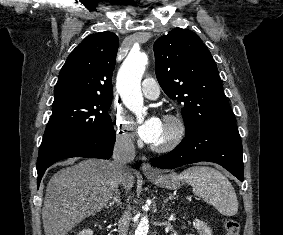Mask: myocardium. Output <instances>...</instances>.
<instances>
[{
    "instance_id": "1",
    "label": "myocardium",
    "mask_w": 283,
    "mask_h": 235,
    "mask_svg": "<svg viewBox=\"0 0 283 235\" xmlns=\"http://www.w3.org/2000/svg\"><path fill=\"white\" fill-rule=\"evenodd\" d=\"M164 122L171 126L172 133L166 142L151 146V149L158 153H166L175 149L183 141L187 132L186 123L178 115H166Z\"/></svg>"
}]
</instances>
